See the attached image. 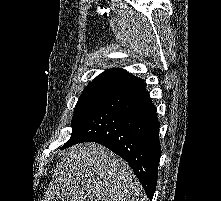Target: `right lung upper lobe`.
<instances>
[{
    "label": "right lung upper lobe",
    "instance_id": "cb5924a9",
    "mask_svg": "<svg viewBox=\"0 0 221 201\" xmlns=\"http://www.w3.org/2000/svg\"><path fill=\"white\" fill-rule=\"evenodd\" d=\"M138 78L123 69H109L97 76L86 88L108 87L120 89Z\"/></svg>",
    "mask_w": 221,
    "mask_h": 201
}]
</instances>
